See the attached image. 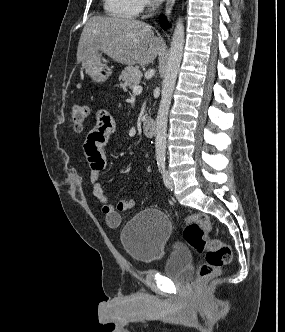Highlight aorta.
I'll list each match as a JSON object with an SVG mask.
<instances>
[{
    "instance_id": "aorta-1",
    "label": "aorta",
    "mask_w": 285,
    "mask_h": 332,
    "mask_svg": "<svg viewBox=\"0 0 285 332\" xmlns=\"http://www.w3.org/2000/svg\"><path fill=\"white\" fill-rule=\"evenodd\" d=\"M184 42V24L183 19L179 17L171 39L170 52L162 81V97L156 118L155 149L156 157L159 160L165 158L168 113L182 60Z\"/></svg>"
}]
</instances>
